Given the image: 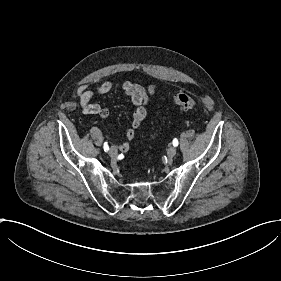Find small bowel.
<instances>
[{"instance_id":"small-bowel-1","label":"small bowel","mask_w":281,"mask_h":281,"mask_svg":"<svg viewBox=\"0 0 281 281\" xmlns=\"http://www.w3.org/2000/svg\"><path fill=\"white\" fill-rule=\"evenodd\" d=\"M114 88V84L111 81H105L93 88L87 85H81L78 89V95L80 100V106L82 111L87 114L97 115L100 118H107L109 116V110L99 104L91 103V100L95 97L105 96L111 92ZM120 89L126 93L134 107L132 126L129 128L125 136L128 140H132L135 136V129H137L146 115V106L148 102V95L154 90L153 86H150L146 91L141 85L126 81L121 84ZM128 148L127 143L120 145V150L125 151Z\"/></svg>"}]
</instances>
